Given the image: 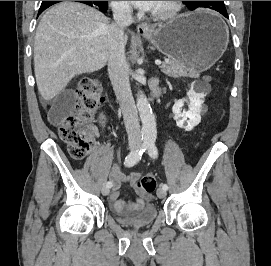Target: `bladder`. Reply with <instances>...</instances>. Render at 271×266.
Returning a JSON list of instances; mask_svg holds the SVG:
<instances>
[{
	"label": "bladder",
	"instance_id": "bladder-1",
	"mask_svg": "<svg viewBox=\"0 0 271 266\" xmlns=\"http://www.w3.org/2000/svg\"><path fill=\"white\" fill-rule=\"evenodd\" d=\"M158 215L157 209L153 205H147L129 217L117 216L118 222L134 227H145L153 223Z\"/></svg>",
	"mask_w": 271,
	"mask_h": 266
}]
</instances>
